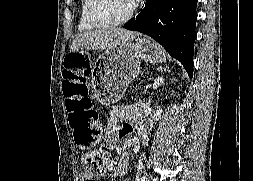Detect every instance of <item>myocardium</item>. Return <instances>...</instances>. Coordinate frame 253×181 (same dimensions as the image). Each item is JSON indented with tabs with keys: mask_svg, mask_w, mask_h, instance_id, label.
Here are the masks:
<instances>
[{
	"mask_svg": "<svg viewBox=\"0 0 253 181\" xmlns=\"http://www.w3.org/2000/svg\"><path fill=\"white\" fill-rule=\"evenodd\" d=\"M100 2L101 0H90L87 8V18L89 22L98 28H114L122 26L129 22L135 14V7H132L129 13L121 20L108 21L99 15L98 9Z\"/></svg>",
	"mask_w": 253,
	"mask_h": 181,
	"instance_id": "obj_1",
	"label": "myocardium"
}]
</instances>
